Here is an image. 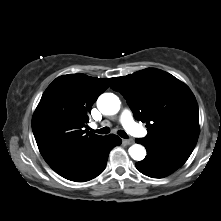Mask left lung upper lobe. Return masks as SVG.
Returning a JSON list of instances; mask_svg holds the SVG:
<instances>
[{
	"label": "left lung upper lobe",
	"instance_id": "obj_1",
	"mask_svg": "<svg viewBox=\"0 0 221 221\" xmlns=\"http://www.w3.org/2000/svg\"><path fill=\"white\" fill-rule=\"evenodd\" d=\"M112 89L127 100L136 119L146 122V140H197L199 113L196 99L183 82L156 68L116 78Z\"/></svg>",
	"mask_w": 221,
	"mask_h": 221
}]
</instances>
